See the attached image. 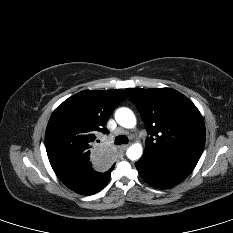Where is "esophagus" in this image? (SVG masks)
Instances as JSON below:
<instances>
[{"label":"esophagus","mask_w":233,"mask_h":233,"mask_svg":"<svg viewBox=\"0 0 233 233\" xmlns=\"http://www.w3.org/2000/svg\"><path fill=\"white\" fill-rule=\"evenodd\" d=\"M128 147H129V145H121V146L119 147V149H120L121 151H125V150L128 149Z\"/></svg>","instance_id":"1"}]
</instances>
